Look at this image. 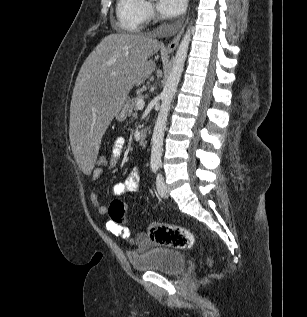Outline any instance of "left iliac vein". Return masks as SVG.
Instances as JSON below:
<instances>
[{
	"mask_svg": "<svg viewBox=\"0 0 307 317\" xmlns=\"http://www.w3.org/2000/svg\"><path fill=\"white\" fill-rule=\"evenodd\" d=\"M156 188H157L158 194L161 197L167 198L168 191H167L166 184L164 182V178L161 174H159L156 178Z\"/></svg>",
	"mask_w": 307,
	"mask_h": 317,
	"instance_id": "4c4485c4",
	"label": "left iliac vein"
}]
</instances>
